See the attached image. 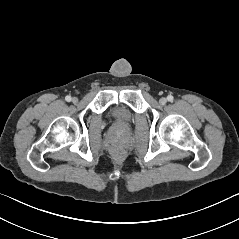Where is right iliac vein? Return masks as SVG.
Masks as SVG:
<instances>
[{
	"label": "right iliac vein",
	"mask_w": 239,
	"mask_h": 239,
	"mask_svg": "<svg viewBox=\"0 0 239 239\" xmlns=\"http://www.w3.org/2000/svg\"><path fill=\"white\" fill-rule=\"evenodd\" d=\"M72 102H73V103H77V102H78V98L74 97V98L72 99Z\"/></svg>",
	"instance_id": "right-iliac-vein-1"
}]
</instances>
